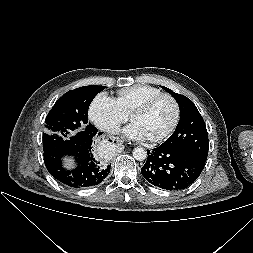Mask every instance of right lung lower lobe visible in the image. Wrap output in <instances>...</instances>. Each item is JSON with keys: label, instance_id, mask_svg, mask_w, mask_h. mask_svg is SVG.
Masks as SVG:
<instances>
[{"label": "right lung lower lobe", "instance_id": "1", "mask_svg": "<svg viewBox=\"0 0 253 253\" xmlns=\"http://www.w3.org/2000/svg\"><path fill=\"white\" fill-rule=\"evenodd\" d=\"M98 130L92 126L68 140L44 142V163L48 172L63 185L73 188H85L100 184L109 174L108 164L97 153L95 141ZM65 156L75 159L76 167L67 170L62 165Z\"/></svg>", "mask_w": 253, "mask_h": 253}]
</instances>
